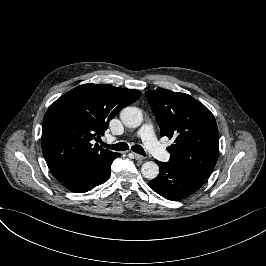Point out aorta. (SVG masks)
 Masks as SVG:
<instances>
[{
  "instance_id": "762f6f07",
  "label": "aorta",
  "mask_w": 266,
  "mask_h": 266,
  "mask_svg": "<svg viewBox=\"0 0 266 266\" xmlns=\"http://www.w3.org/2000/svg\"><path fill=\"white\" fill-rule=\"evenodd\" d=\"M120 120L129 128H136L142 121V112L138 107L127 106L120 111ZM143 176L148 180L155 179L159 174V166L152 161L143 163L141 167Z\"/></svg>"
}]
</instances>
